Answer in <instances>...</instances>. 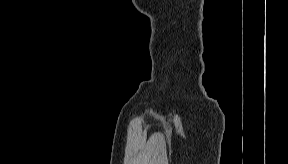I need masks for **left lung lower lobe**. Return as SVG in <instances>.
<instances>
[{
	"label": "left lung lower lobe",
	"instance_id": "0a47b994",
	"mask_svg": "<svg viewBox=\"0 0 288 164\" xmlns=\"http://www.w3.org/2000/svg\"><path fill=\"white\" fill-rule=\"evenodd\" d=\"M211 78H212V89L208 91V95L210 97L216 98V92L214 91V85L217 83V81L220 78H223L221 74L216 75L215 73H211ZM225 78L227 80V83L232 79V72L226 71L225 72Z\"/></svg>",
	"mask_w": 288,
	"mask_h": 164
}]
</instances>
